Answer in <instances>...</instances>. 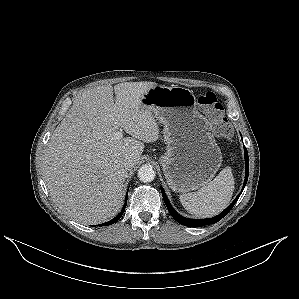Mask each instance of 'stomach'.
<instances>
[{
  "label": "stomach",
  "instance_id": "0dacf381",
  "mask_svg": "<svg viewBox=\"0 0 299 299\" xmlns=\"http://www.w3.org/2000/svg\"><path fill=\"white\" fill-rule=\"evenodd\" d=\"M141 101L164 125L166 152L160 164L169 187L186 193L210 183L222 164V153L210 122L197 110L193 91L156 85Z\"/></svg>",
  "mask_w": 299,
  "mask_h": 299
}]
</instances>
